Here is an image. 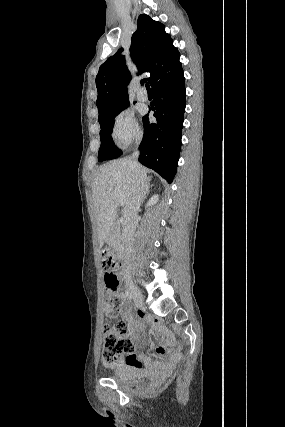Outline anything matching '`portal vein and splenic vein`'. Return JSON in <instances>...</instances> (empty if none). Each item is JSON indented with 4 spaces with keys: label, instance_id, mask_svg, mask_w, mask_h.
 Returning <instances> with one entry per match:
<instances>
[{
    "label": "portal vein and splenic vein",
    "instance_id": "obj_1",
    "mask_svg": "<svg viewBox=\"0 0 285 427\" xmlns=\"http://www.w3.org/2000/svg\"><path fill=\"white\" fill-rule=\"evenodd\" d=\"M117 201H118V203H119L120 205H124V204H125V201H124V198H123V195H122V194H118V196H117Z\"/></svg>",
    "mask_w": 285,
    "mask_h": 427
}]
</instances>
